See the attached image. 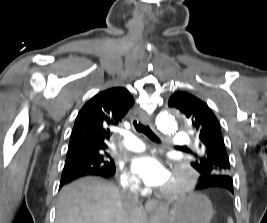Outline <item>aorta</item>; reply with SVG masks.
I'll return each instance as SVG.
<instances>
[{
    "label": "aorta",
    "instance_id": "1",
    "mask_svg": "<svg viewBox=\"0 0 267 223\" xmlns=\"http://www.w3.org/2000/svg\"><path fill=\"white\" fill-rule=\"evenodd\" d=\"M157 128L166 134H174L178 129L177 119L174 115H162L157 118ZM150 223H158L157 215H153L150 219Z\"/></svg>",
    "mask_w": 267,
    "mask_h": 223
}]
</instances>
